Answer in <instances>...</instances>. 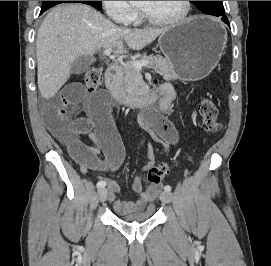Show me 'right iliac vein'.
I'll list each match as a JSON object with an SVG mask.
<instances>
[{"mask_svg":"<svg viewBox=\"0 0 271 266\" xmlns=\"http://www.w3.org/2000/svg\"><path fill=\"white\" fill-rule=\"evenodd\" d=\"M106 196H107V189L106 188H100L98 190V197H99V200L101 202L105 201L106 200Z\"/></svg>","mask_w":271,"mask_h":266,"instance_id":"obj_1","label":"right iliac vein"}]
</instances>
